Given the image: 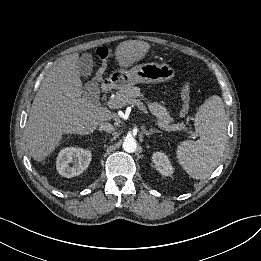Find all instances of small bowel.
Instances as JSON below:
<instances>
[{
	"instance_id": "c3829d8e",
	"label": "small bowel",
	"mask_w": 261,
	"mask_h": 261,
	"mask_svg": "<svg viewBox=\"0 0 261 261\" xmlns=\"http://www.w3.org/2000/svg\"><path fill=\"white\" fill-rule=\"evenodd\" d=\"M181 99H182V108L188 112V109H189V106H190V96H184L182 94L181 96Z\"/></svg>"
}]
</instances>
